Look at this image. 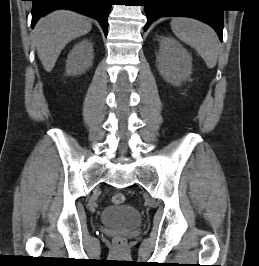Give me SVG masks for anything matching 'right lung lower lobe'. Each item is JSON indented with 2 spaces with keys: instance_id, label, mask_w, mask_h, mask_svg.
I'll list each match as a JSON object with an SVG mask.
<instances>
[{
  "instance_id": "1",
  "label": "right lung lower lobe",
  "mask_w": 259,
  "mask_h": 266,
  "mask_svg": "<svg viewBox=\"0 0 259 266\" xmlns=\"http://www.w3.org/2000/svg\"><path fill=\"white\" fill-rule=\"evenodd\" d=\"M32 27L38 19L53 10L69 9L99 21L105 36L108 32V15L112 0H32Z\"/></svg>"
}]
</instances>
